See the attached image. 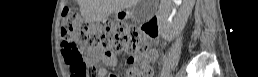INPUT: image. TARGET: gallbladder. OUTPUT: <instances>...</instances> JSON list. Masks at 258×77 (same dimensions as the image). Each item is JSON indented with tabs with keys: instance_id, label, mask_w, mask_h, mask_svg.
Instances as JSON below:
<instances>
[{
	"instance_id": "obj_1",
	"label": "gallbladder",
	"mask_w": 258,
	"mask_h": 77,
	"mask_svg": "<svg viewBox=\"0 0 258 77\" xmlns=\"http://www.w3.org/2000/svg\"><path fill=\"white\" fill-rule=\"evenodd\" d=\"M154 5L155 3L151 0H139L131 9L132 19L136 22L146 21L153 14Z\"/></svg>"
}]
</instances>
